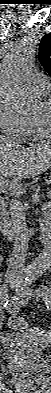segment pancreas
I'll use <instances>...</instances> for the list:
<instances>
[{
  "label": "pancreas",
  "instance_id": "1",
  "mask_svg": "<svg viewBox=\"0 0 51 393\" xmlns=\"http://www.w3.org/2000/svg\"><path fill=\"white\" fill-rule=\"evenodd\" d=\"M22 193L21 192H17V195L20 196Z\"/></svg>",
  "mask_w": 51,
  "mask_h": 393
}]
</instances>
